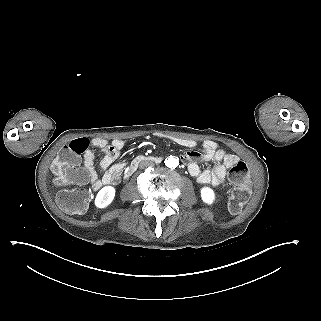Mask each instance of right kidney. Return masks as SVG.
<instances>
[{
  "instance_id": "1",
  "label": "right kidney",
  "mask_w": 321,
  "mask_h": 321,
  "mask_svg": "<svg viewBox=\"0 0 321 321\" xmlns=\"http://www.w3.org/2000/svg\"><path fill=\"white\" fill-rule=\"evenodd\" d=\"M114 196L115 189L112 186H105L98 192L95 205L98 208H105L113 201Z\"/></svg>"
}]
</instances>
